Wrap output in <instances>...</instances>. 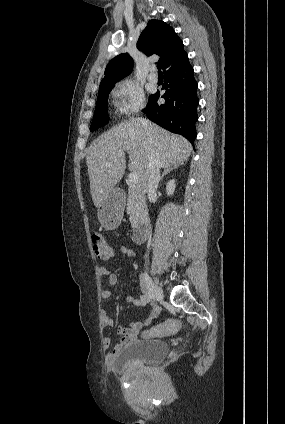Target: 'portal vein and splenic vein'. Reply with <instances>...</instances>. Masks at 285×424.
I'll return each mask as SVG.
<instances>
[{
	"mask_svg": "<svg viewBox=\"0 0 285 424\" xmlns=\"http://www.w3.org/2000/svg\"><path fill=\"white\" fill-rule=\"evenodd\" d=\"M130 186H135L139 181V176L136 172H131L128 176Z\"/></svg>",
	"mask_w": 285,
	"mask_h": 424,
	"instance_id": "obj_1",
	"label": "portal vein and splenic vein"
}]
</instances>
